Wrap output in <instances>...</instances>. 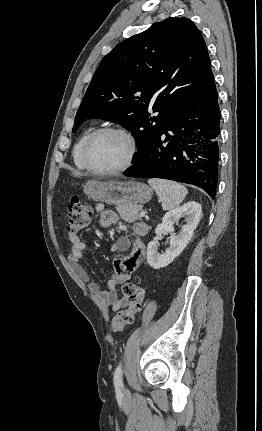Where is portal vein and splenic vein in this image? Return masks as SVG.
<instances>
[{"mask_svg":"<svg viewBox=\"0 0 262 431\" xmlns=\"http://www.w3.org/2000/svg\"><path fill=\"white\" fill-rule=\"evenodd\" d=\"M139 216H140V217H145V216H146V213H145V212H141V213L139 214Z\"/></svg>","mask_w":262,"mask_h":431,"instance_id":"portal-vein-and-splenic-vein-1","label":"portal vein and splenic vein"}]
</instances>
